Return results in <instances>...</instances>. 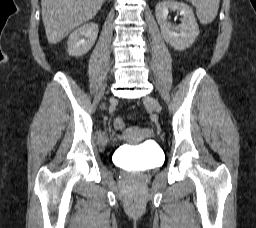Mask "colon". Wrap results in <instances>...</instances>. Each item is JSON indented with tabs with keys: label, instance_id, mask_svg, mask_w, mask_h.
I'll list each match as a JSON object with an SVG mask.
<instances>
[{
	"label": "colon",
	"instance_id": "colon-1",
	"mask_svg": "<svg viewBox=\"0 0 256 228\" xmlns=\"http://www.w3.org/2000/svg\"><path fill=\"white\" fill-rule=\"evenodd\" d=\"M113 126L116 130L121 131L125 128V123L122 118L117 117L113 120Z\"/></svg>",
	"mask_w": 256,
	"mask_h": 228
}]
</instances>
